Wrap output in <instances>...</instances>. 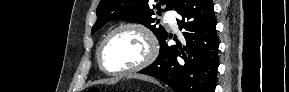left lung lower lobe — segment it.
I'll return each instance as SVG.
<instances>
[{
  "instance_id": "left-lung-lower-lobe-1",
  "label": "left lung lower lobe",
  "mask_w": 289,
  "mask_h": 92,
  "mask_svg": "<svg viewBox=\"0 0 289 92\" xmlns=\"http://www.w3.org/2000/svg\"><path fill=\"white\" fill-rule=\"evenodd\" d=\"M211 0H178L174 9L182 17L183 45L160 43V53L139 73L156 77L176 92H215L219 66L217 21ZM171 38V35H169Z\"/></svg>"
}]
</instances>
